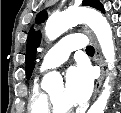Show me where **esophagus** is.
<instances>
[{
	"label": "esophagus",
	"mask_w": 121,
	"mask_h": 113,
	"mask_svg": "<svg viewBox=\"0 0 121 113\" xmlns=\"http://www.w3.org/2000/svg\"><path fill=\"white\" fill-rule=\"evenodd\" d=\"M94 43H95L96 61L101 68V75H100L99 79L96 81V84H95L93 100H95V98L97 97V95L99 93V90H100V87H101V84H102V81H103V77H104V72H105L103 58H102V55L100 53L99 45H98L96 40H94Z\"/></svg>",
	"instance_id": "esophagus-1"
}]
</instances>
